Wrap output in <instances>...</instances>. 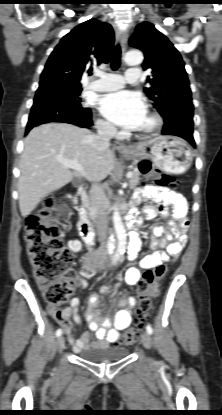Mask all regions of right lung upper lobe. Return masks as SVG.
Masks as SVG:
<instances>
[{
  "mask_svg": "<svg viewBox=\"0 0 222 415\" xmlns=\"http://www.w3.org/2000/svg\"><path fill=\"white\" fill-rule=\"evenodd\" d=\"M114 43L111 25L90 19L65 35L51 53L41 80L55 78L81 86L82 74L107 63Z\"/></svg>",
  "mask_w": 222,
  "mask_h": 415,
  "instance_id": "right-lung-upper-lobe-1",
  "label": "right lung upper lobe"
}]
</instances>
